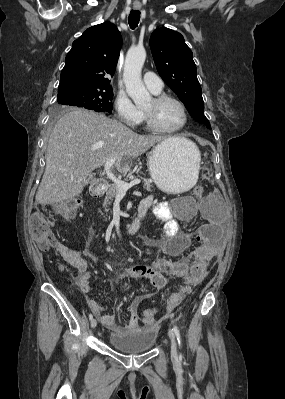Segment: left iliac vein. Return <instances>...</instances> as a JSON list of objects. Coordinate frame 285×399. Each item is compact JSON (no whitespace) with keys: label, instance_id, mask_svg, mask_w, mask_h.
Here are the masks:
<instances>
[{"label":"left iliac vein","instance_id":"obj_1","mask_svg":"<svg viewBox=\"0 0 285 399\" xmlns=\"http://www.w3.org/2000/svg\"><path fill=\"white\" fill-rule=\"evenodd\" d=\"M168 336H169L170 342H171V356L173 358H177V344H176L175 334H174L173 330L170 329L168 331Z\"/></svg>","mask_w":285,"mask_h":399}]
</instances>
